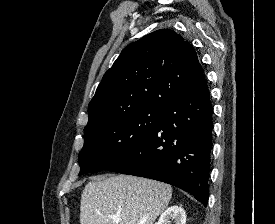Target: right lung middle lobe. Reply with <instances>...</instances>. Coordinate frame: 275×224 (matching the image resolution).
<instances>
[{"label":"right lung middle lobe","instance_id":"dd1d6c3e","mask_svg":"<svg viewBox=\"0 0 275 224\" xmlns=\"http://www.w3.org/2000/svg\"><path fill=\"white\" fill-rule=\"evenodd\" d=\"M163 112L143 108L85 128L84 146L78 157L79 175L108 169L120 161L152 133Z\"/></svg>","mask_w":275,"mask_h":224}]
</instances>
